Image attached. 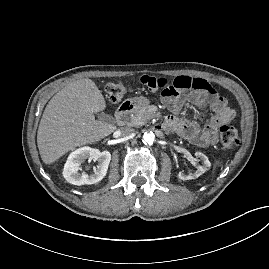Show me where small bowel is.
Here are the masks:
<instances>
[{
  "instance_id": "small-bowel-1",
  "label": "small bowel",
  "mask_w": 269,
  "mask_h": 269,
  "mask_svg": "<svg viewBox=\"0 0 269 269\" xmlns=\"http://www.w3.org/2000/svg\"><path fill=\"white\" fill-rule=\"evenodd\" d=\"M148 78L145 76L141 79L145 85ZM148 83L151 90L160 97H167L173 92L174 96L166 99L168 107L173 111H178L185 102L194 103L200 114L212 111V116L205 125L196 120H183L175 116L166 120L168 128L199 147L215 144L219 128L235 117V111L228 106L227 100L202 78L179 76L170 79L163 74H156Z\"/></svg>"
}]
</instances>
